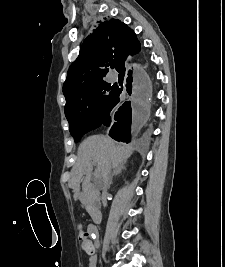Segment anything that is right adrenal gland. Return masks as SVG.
Segmentation results:
<instances>
[{
    "mask_svg": "<svg viewBox=\"0 0 225 267\" xmlns=\"http://www.w3.org/2000/svg\"><path fill=\"white\" fill-rule=\"evenodd\" d=\"M125 163H123L120 166H118V167H116V168L113 169V172H112V174L110 176L108 188H110V186L112 184L113 177L116 176V175L122 174V172L126 169Z\"/></svg>",
    "mask_w": 225,
    "mask_h": 267,
    "instance_id": "obj_1",
    "label": "right adrenal gland"
}]
</instances>
